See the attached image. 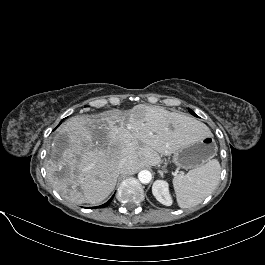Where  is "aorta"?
<instances>
[{
    "label": "aorta",
    "mask_w": 265,
    "mask_h": 265,
    "mask_svg": "<svg viewBox=\"0 0 265 265\" xmlns=\"http://www.w3.org/2000/svg\"><path fill=\"white\" fill-rule=\"evenodd\" d=\"M138 179L141 183L147 184L152 180V174L148 170H142L138 173Z\"/></svg>",
    "instance_id": "obj_1"
}]
</instances>
